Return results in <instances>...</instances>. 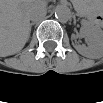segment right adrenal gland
Returning a JSON list of instances; mask_svg holds the SVG:
<instances>
[{"label": "right adrenal gland", "instance_id": "right-adrenal-gland-1", "mask_svg": "<svg viewBox=\"0 0 103 103\" xmlns=\"http://www.w3.org/2000/svg\"><path fill=\"white\" fill-rule=\"evenodd\" d=\"M33 25H34V23H31V24H30V31H31V28H32Z\"/></svg>", "mask_w": 103, "mask_h": 103}]
</instances>
